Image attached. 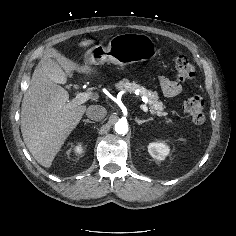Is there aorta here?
Returning <instances> with one entry per match:
<instances>
[{
  "label": "aorta",
  "mask_w": 236,
  "mask_h": 236,
  "mask_svg": "<svg viewBox=\"0 0 236 236\" xmlns=\"http://www.w3.org/2000/svg\"><path fill=\"white\" fill-rule=\"evenodd\" d=\"M115 131L118 134L125 135L128 132V124H127V122L123 121V120H119L115 124Z\"/></svg>",
  "instance_id": "1"
}]
</instances>
